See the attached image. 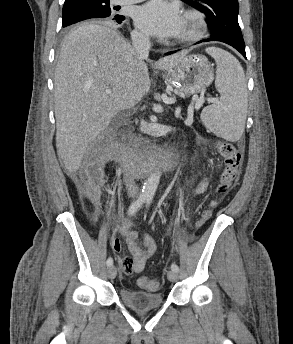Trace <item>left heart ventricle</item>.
Here are the masks:
<instances>
[{
    "label": "left heart ventricle",
    "mask_w": 293,
    "mask_h": 344,
    "mask_svg": "<svg viewBox=\"0 0 293 344\" xmlns=\"http://www.w3.org/2000/svg\"><path fill=\"white\" fill-rule=\"evenodd\" d=\"M190 30V25L188 22H186L185 20L183 21V26L181 31L179 32V34L177 35V37L183 36L185 34H187Z\"/></svg>",
    "instance_id": "b2bd125f"
}]
</instances>
